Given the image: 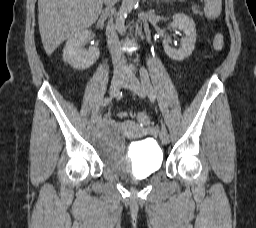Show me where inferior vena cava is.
I'll use <instances>...</instances> for the list:
<instances>
[{"label":"inferior vena cava","instance_id":"1","mask_svg":"<svg viewBox=\"0 0 256 228\" xmlns=\"http://www.w3.org/2000/svg\"><path fill=\"white\" fill-rule=\"evenodd\" d=\"M117 0H104L106 5V11L109 12L113 9ZM117 25L109 22L106 28L107 43L111 52L114 73L115 74H125L127 71L125 59L123 53L119 47V40L117 36Z\"/></svg>","mask_w":256,"mask_h":228}]
</instances>
